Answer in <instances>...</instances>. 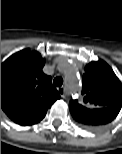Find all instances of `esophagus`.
<instances>
[{
	"instance_id": "34e87169",
	"label": "esophagus",
	"mask_w": 122,
	"mask_h": 154,
	"mask_svg": "<svg viewBox=\"0 0 122 154\" xmlns=\"http://www.w3.org/2000/svg\"><path fill=\"white\" fill-rule=\"evenodd\" d=\"M57 90H58V93L60 94V96L62 98L66 97V89H65V87H59Z\"/></svg>"
}]
</instances>
